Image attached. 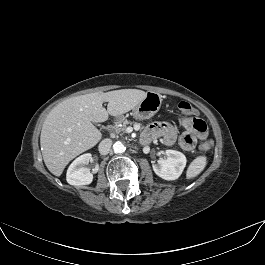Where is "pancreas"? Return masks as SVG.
<instances>
[{
    "mask_svg": "<svg viewBox=\"0 0 265 265\" xmlns=\"http://www.w3.org/2000/svg\"><path fill=\"white\" fill-rule=\"evenodd\" d=\"M128 124H132V122H129V121H127V120L122 121V123H120V124H118V125H116V126L114 127L115 132H116V133H122V132H125L126 127H127Z\"/></svg>",
    "mask_w": 265,
    "mask_h": 265,
    "instance_id": "cf45deb5",
    "label": "pancreas"
}]
</instances>
